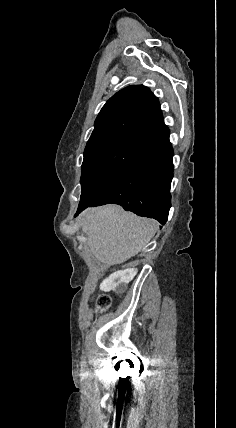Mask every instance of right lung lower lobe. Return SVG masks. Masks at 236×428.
Wrapping results in <instances>:
<instances>
[{
	"mask_svg": "<svg viewBox=\"0 0 236 428\" xmlns=\"http://www.w3.org/2000/svg\"><path fill=\"white\" fill-rule=\"evenodd\" d=\"M142 142L141 151L120 178L95 200L79 206L75 216L87 207L114 203L139 216L166 223L173 178L169 129L164 126Z\"/></svg>",
	"mask_w": 236,
	"mask_h": 428,
	"instance_id": "98d812e1",
	"label": "right lung lower lobe"
}]
</instances>
